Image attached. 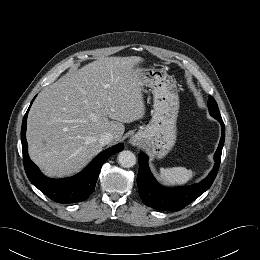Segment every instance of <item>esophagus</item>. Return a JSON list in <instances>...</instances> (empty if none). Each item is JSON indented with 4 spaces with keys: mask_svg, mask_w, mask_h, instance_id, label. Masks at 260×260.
I'll return each mask as SVG.
<instances>
[{
    "mask_svg": "<svg viewBox=\"0 0 260 260\" xmlns=\"http://www.w3.org/2000/svg\"><path fill=\"white\" fill-rule=\"evenodd\" d=\"M130 142H131V144H133V145H136V144H137V142H136V140H135L134 138H132Z\"/></svg>",
    "mask_w": 260,
    "mask_h": 260,
    "instance_id": "34e87169",
    "label": "esophagus"
}]
</instances>
